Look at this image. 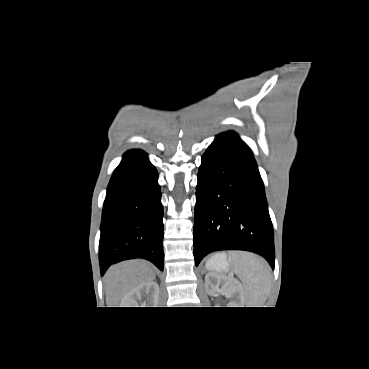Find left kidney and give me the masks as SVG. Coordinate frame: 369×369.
<instances>
[{
    "label": "left kidney",
    "mask_w": 369,
    "mask_h": 369,
    "mask_svg": "<svg viewBox=\"0 0 369 369\" xmlns=\"http://www.w3.org/2000/svg\"><path fill=\"white\" fill-rule=\"evenodd\" d=\"M221 283L222 286L219 289ZM205 288L210 295L221 292L226 297L231 298V307H244V295L239 284L233 279L209 272L205 276Z\"/></svg>",
    "instance_id": "obj_1"
}]
</instances>
